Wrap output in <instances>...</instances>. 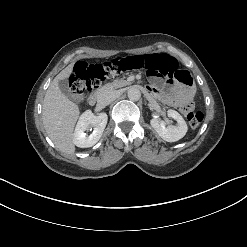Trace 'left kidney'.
I'll list each match as a JSON object with an SVG mask.
<instances>
[{"label":"left kidney","mask_w":247,"mask_h":247,"mask_svg":"<svg viewBox=\"0 0 247 247\" xmlns=\"http://www.w3.org/2000/svg\"><path fill=\"white\" fill-rule=\"evenodd\" d=\"M167 115L176 121V125L165 126V123L157 118L150 121L152 128L158 135L167 142H175L183 138L188 130L187 124L183 117L175 110L169 109Z\"/></svg>","instance_id":"5707ae66"}]
</instances>
